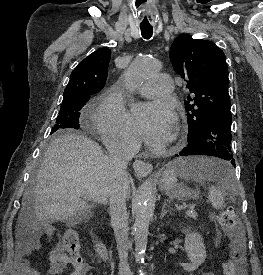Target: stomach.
Here are the masks:
<instances>
[{
  "mask_svg": "<svg viewBox=\"0 0 263 275\" xmlns=\"http://www.w3.org/2000/svg\"><path fill=\"white\" fill-rule=\"evenodd\" d=\"M160 187L170 198L184 199L193 197V192L190 189L183 184L177 183V173L171 165L163 172Z\"/></svg>",
  "mask_w": 263,
  "mask_h": 275,
  "instance_id": "0dacf381",
  "label": "stomach"
}]
</instances>
